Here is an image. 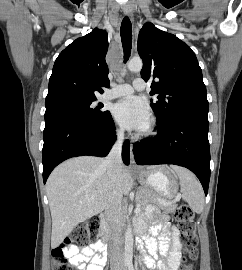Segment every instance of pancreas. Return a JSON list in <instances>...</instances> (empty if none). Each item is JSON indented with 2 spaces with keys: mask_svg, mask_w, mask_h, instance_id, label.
<instances>
[{
  "mask_svg": "<svg viewBox=\"0 0 242 270\" xmlns=\"http://www.w3.org/2000/svg\"><path fill=\"white\" fill-rule=\"evenodd\" d=\"M165 200L159 199L158 196L149 189L141 188L136 195V205L144 210L147 205L154 203L158 204L159 207L167 213H171L175 210L176 204H164ZM125 222V216L122 217L121 226Z\"/></svg>",
  "mask_w": 242,
  "mask_h": 270,
  "instance_id": "cf45deb5",
  "label": "pancreas"
}]
</instances>
